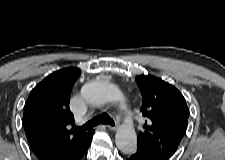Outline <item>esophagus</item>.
I'll return each mask as SVG.
<instances>
[{
  "label": "esophagus",
  "mask_w": 225,
  "mask_h": 160,
  "mask_svg": "<svg viewBox=\"0 0 225 160\" xmlns=\"http://www.w3.org/2000/svg\"><path fill=\"white\" fill-rule=\"evenodd\" d=\"M106 128H108V129H110V130H113V131H115V130H117V128H118V126H119V122L118 121H116L115 122V125H104Z\"/></svg>",
  "instance_id": "obj_1"
}]
</instances>
